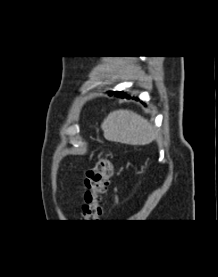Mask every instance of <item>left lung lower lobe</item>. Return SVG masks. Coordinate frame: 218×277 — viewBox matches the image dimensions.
Listing matches in <instances>:
<instances>
[{
    "label": "left lung lower lobe",
    "mask_w": 218,
    "mask_h": 277,
    "mask_svg": "<svg viewBox=\"0 0 218 277\" xmlns=\"http://www.w3.org/2000/svg\"><path fill=\"white\" fill-rule=\"evenodd\" d=\"M110 94H111V95L120 96L121 98H128V99L131 98L129 95H126V93H124V92H122V91H120V92H118V91L113 92V91H112ZM132 99L138 100L137 97H133Z\"/></svg>",
    "instance_id": "0a47b994"
}]
</instances>
